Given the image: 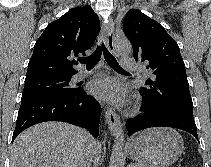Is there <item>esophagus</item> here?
I'll use <instances>...</instances> for the list:
<instances>
[{"mask_svg":"<svg viewBox=\"0 0 211 167\" xmlns=\"http://www.w3.org/2000/svg\"><path fill=\"white\" fill-rule=\"evenodd\" d=\"M105 41L109 51L113 54H116L115 43H114V23L112 20L110 21L109 25L106 28ZM105 116L109 130L111 131V134L115 136L119 129V123H120L119 116L109 106L106 107Z\"/></svg>","mask_w":211,"mask_h":167,"instance_id":"1","label":"esophagus"}]
</instances>
